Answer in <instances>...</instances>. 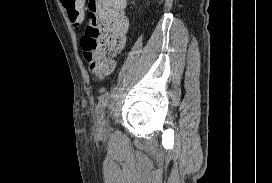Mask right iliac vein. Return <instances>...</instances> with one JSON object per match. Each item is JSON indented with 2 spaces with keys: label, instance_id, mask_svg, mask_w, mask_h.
<instances>
[{
  "label": "right iliac vein",
  "instance_id": "1",
  "mask_svg": "<svg viewBox=\"0 0 272 183\" xmlns=\"http://www.w3.org/2000/svg\"><path fill=\"white\" fill-rule=\"evenodd\" d=\"M97 125H98V131L100 134H105L108 130V124L107 121L104 119V117L101 119V117H97Z\"/></svg>",
  "mask_w": 272,
  "mask_h": 183
}]
</instances>
